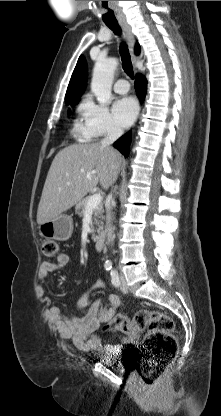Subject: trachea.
<instances>
[{"mask_svg":"<svg viewBox=\"0 0 221 416\" xmlns=\"http://www.w3.org/2000/svg\"><path fill=\"white\" fill-rule=\"evenodd\" d=\"M105 24L114 32V34L119 35V36L121 35V28L118 22L105 23ZM119 51H120V55L122 59L123 69L125 73L133 79L134 78L133 66H132L128 47L124 42L121 43Z\"/></svg>","mask_w":221,"mask_h":416,"instance_id":"3493384b","label":"trachea"}]
</instances>
